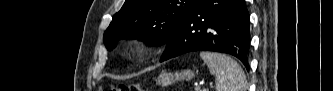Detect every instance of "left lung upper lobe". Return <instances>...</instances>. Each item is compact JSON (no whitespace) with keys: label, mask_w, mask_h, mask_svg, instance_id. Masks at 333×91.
Listing matches in <instances>:
<instances>
[{"label":"left lung upper lobe","mask_w":333,"mask_h":91,"mask_svg":"<svg viewBox=\"0 0 333 91\" xmlns=\"http://www.w3.org/2000/svg\"><path fill=\"white\" fill-rule=\"evenodd\" d=\"M198 0H126L104 33L107 49L129 38L149 45L167 43Z\"/></svg>","instance_id":"left-lung-upper-lobe-1"}]
</instances>
